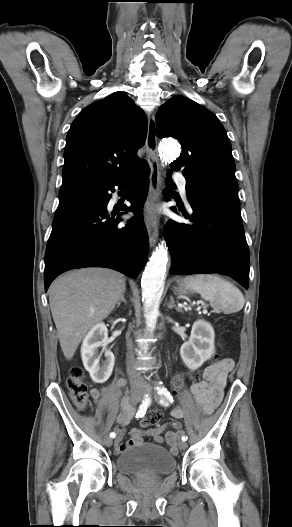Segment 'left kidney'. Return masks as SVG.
<instances>
[{
  "mask_svg": "<svg viewBox=\"0 0 292 527\" xmlns=\"http://www.w3.org/2000/svg\"><path fill=\"white\" fill-rule=\"evenodd\" d=\"M214 337L210 323L202 319L194 322L189 340L180 348V356L186 367L196 370L214 354Z\"/></svg>",
  "mask_w": 292,
  "mask_h": 527,
  "instance_id": "obj_1",
  "label": "left kidney"
}]
</instances>
